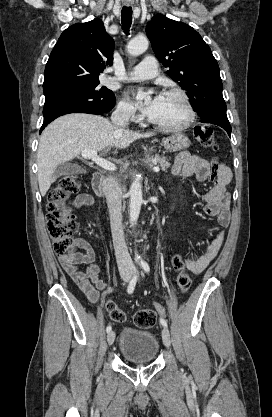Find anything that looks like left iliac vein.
Segmentation results:
<instances>
[{
	"label": "left iliac vein",
	"instance_id": "4c4485c4",
	"mask_svg": "<svg viewBox=\"0 0 272 417\" xmlns=\"http://www.w3.org/2000/svg\"><path fill=\"white\" fill-rule=\"evenodd\" d=\"M162 339H163V343L167 348H170L171 346V338H170V332L169 330L164 327L162 329Z\"/></svg>",
	"mask_w": 272,
	"mask_h": 417
}]
</instances>
